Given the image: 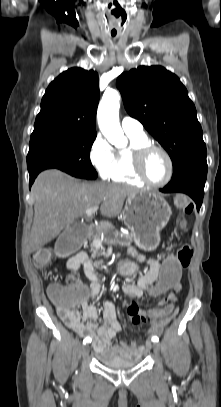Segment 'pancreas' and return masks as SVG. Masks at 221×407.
Returning a JSON list of instances; mask_svg holds the SVG:
<instances>
[{
  "label": "pancreas",
  "instance_id": "cf45deb5",
  "mask_svg": "<svg viewBox=\"0 0 221 407\" xmlns=\"http://www.w3.org/2000/svg\"><path fill=\"white\" fill-rule=\"evenodd\" d=\"M95 240L99 238V230L97 231V234L94 235L93 237ZM133 242V237L129 234H125L123 232H119V231H115L112 233V235H110L105 241V244L108 245H114V246H131ZM93 248H92V252H93V256H95L96 254L99 255V251L103 250L102 246L96 245L93 243Z\"/></svg>",
  "mask_w": 221,
  "mask_h": 407
}]
</instances>
